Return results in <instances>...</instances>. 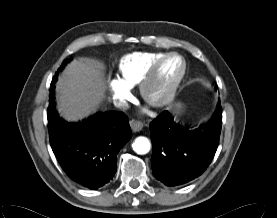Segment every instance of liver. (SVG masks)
I'll return each mask as SVG.
<instances>
[{
    "label": "liver",
    "mask_w": 277,
    "mask_h": 218,
    "mask_svg": "<svg viewBox=\"0 0 277 218\" xmlns=\"http://www.w3.org/2000/svg\"><path fill=\"white\" fill-rule=\"evenodd\" d=\"M101 69L89 58L67 65L56 84L58 110L66 120L77 121L97 110L105 90Z\"/></svg>",
    "instance_id": "liver-1"
}]
</instances>
